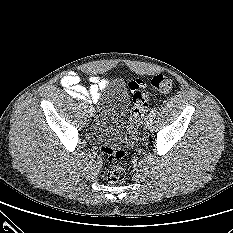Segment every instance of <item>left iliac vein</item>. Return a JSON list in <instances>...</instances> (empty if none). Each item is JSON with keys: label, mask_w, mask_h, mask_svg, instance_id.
<instances>
[{"label": "left iliac vein", "mask_w": 233, "mask_h": 233, "mask_svg": "<svg viewBox=\"0 0 233 233\" xmlns=\"http://www.w3.org/2000/svg\"><path fill=\"white\" fill-rule=\"evenodd\" d=\"M153 121H154V115L149 113L145 120V128L150 129L153 125Z\"/></svg>", "instance_id": "1"}]
</instances>
